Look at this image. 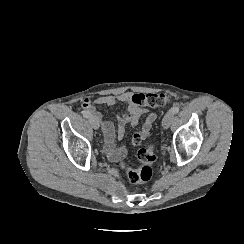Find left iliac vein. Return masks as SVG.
Returning a JSON list of instances; mask_svg holds the SVG:
<instances>
[{"label":"left iliac vein","mask_w":244,"mask_h":244,"mask_svg":"<svg viewBox=\"0 0 244 244\" xmlns=\"http://www.w3.org/2000/svg\"><path fill=\"white\" fill-rule=\"evenodd\" d=\"M174 119V114L172 112H167L162 120V126L164 129L169 128L171 122Z\"/></svg>","instance_id":"4c4485c4"}]
</instances>
